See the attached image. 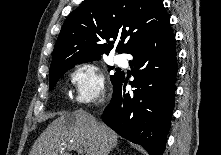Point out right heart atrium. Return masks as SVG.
I'll return each instance as SVG.
<instances>
[{"mask_svg": "<svg viewBox=\"0 0 221 155\" xmlns=\"http://www.w3.org/2000/svg\"><path fill=\"white\" fill-rule=\"evenodd\" d=\"M70 79L75 100L82 105L102 101L107 97L105 77L93 63H81L75 66Z\"/></svg>", "mask_w": 221, "mask_h": 155, "instance_id": "1", "label": "right heart atrium"}]
</instances>
